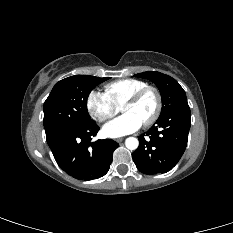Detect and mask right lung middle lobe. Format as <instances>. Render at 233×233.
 <instances>
[{"mask_svg":"<svg viewBox=\"0 0 233 233\" xmlns=\"http://www.w3.org/2000/svg\"><path fill=\"white\" fill-rule=\"evenodd\" d=\"M109 77L75 75L56 83L44 103L46 134L57 129L91 122L87 111L90 92Z\"/></svg>","mask_w":233,"mask_h":233,"instance_id":"1","label":"right lung middle lobe"}]
</instances>
